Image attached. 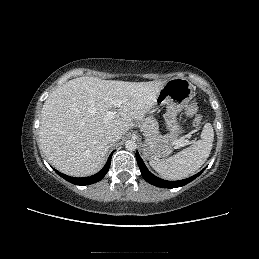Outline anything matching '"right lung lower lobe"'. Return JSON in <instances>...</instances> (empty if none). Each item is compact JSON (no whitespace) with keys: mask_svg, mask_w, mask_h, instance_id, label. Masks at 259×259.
Segmentation results:
<instances>
[{"mask_svg":"<svg viewBox=\"0 0 259 259\" xmlns=\"http://www.w3.org/2000/svg\"><path fill=\"white\" fill-rule=\"evenodd\" d=\"M114 153V151L110 154L105 166L95 175L90 176V177H84V178H75V177H70L67 176L65 174L60 173L59 171L55 170V172L60 175L62 178H64L65 180L76 184V185H89V184H93L95 182L100 181L105 174L108 172L109 168H110V164H111V158H112V154Z\"/></svg>","mask_w":259,"mask_h":259,"instance_id":"right-lung-lower-lobe-1","label":"right lung lower lobe"}]
</instances>
